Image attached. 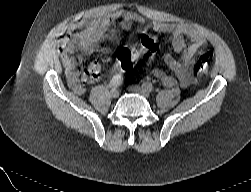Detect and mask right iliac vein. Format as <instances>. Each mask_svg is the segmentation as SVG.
<instances>
[{
  "label": "right iliac vein",
  "instance_id": "right-iliac-vein-1",
  "mask_svg": "<svg viewBox=\"0 0 251 192\" xmlns=\"http://www.w3.org/2000/svg\"><path fill=\"white\" fill-rule=\"evenodd\" d=\"M110 95H111V97H113V98H118V97H119V90L116 89V88L112 89V90L110 91Z\"/></svg>",
  "mask_w": 251,
  "mask_h": 192
}]
</instances>
